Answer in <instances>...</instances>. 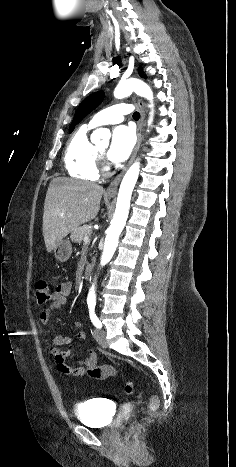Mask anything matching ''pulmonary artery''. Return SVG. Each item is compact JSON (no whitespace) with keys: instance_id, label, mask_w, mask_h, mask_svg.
Returning a JSON list of instances; mask_svg holds the SVG:
<instances>
[{"instance_id":"obj_1","label":"pulmonary artery","mask_w":236,"mask_h":467,"mask_svg":"<svg viewBox=\"0 0 236 467\" xmlns=\"http://www.w3.org/2000/svg\"><path fill=\"white\" fill-rule=\"evenodd\" d=\"M132 112V108L127 104H116L96 113L89 121L91 128L104 124H115L123 121L124 116Z\"/></svg>"}]
</instances>
